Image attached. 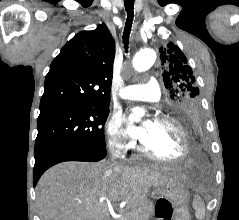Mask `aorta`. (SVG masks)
I'll use <instances>...</instances> for the list:
<instances>
[{
	"mask_svg": "<svg viewBox=\"0 0 239 220\" xmlns=\"http://www.w3.org/2000/svg\"><path fill=\"white\" fill-rule=\"evenodd\" d=\"M156 60V53L153 49H142L133 58L132 64L136 71L143 72L148 70ZM142 108L136 107L132 110L130 119H136L144 115Z\"/></svg>",
	"mask_w": 239,
	"mask_h": 220,
	"instance_id": "obj_1",
	"label": "aorta"
}]
</instances>
